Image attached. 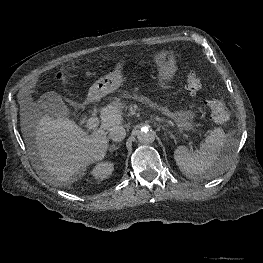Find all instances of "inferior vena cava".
Listing matches in <instances>:
<instances>
[{"label":"inferior vena cava","instance_id":"1","mask_svg":"<svg viewBox=\"0 0 263 263\" xmlns=\"http://www.w3.org/2000/svg\"><path fill=\"white\" fill-rule=\"evenodd\" d=\"M126 136V131L123 126L116 125L110 128L109 138L113 141H122Z\"/></svg>","mask_w":263,"mask_h":263}]
</instances>
